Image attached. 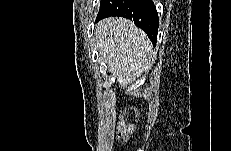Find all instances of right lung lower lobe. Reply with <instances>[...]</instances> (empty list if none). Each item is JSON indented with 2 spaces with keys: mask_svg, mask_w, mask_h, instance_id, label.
<instances>
[{
  "mask_svg": "<svg viewBox=\"0 0 231 151\" xmlns=\"http://www.w3.org/2000/svg\"><path fill=\"white\" fill-rule=\"evenodd\" d=\"M110 16L132 20L148 35L155 46L159 18L152 0H101L96 22Z\"/></svg>",
  "mask_w": 231,
  "mask_h": 151,
  "instance_id": "right-lung-lower-lobe-1",
  "label": "right lung lower lobe"
}]
</instances>
